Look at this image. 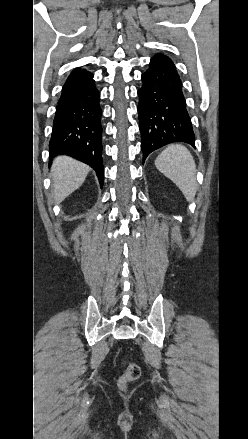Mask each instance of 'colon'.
I'll use <instances>...</instances> for the list:
<instances>
[{"instance_id": "colon-1", "label": "colon", "mask_w": 248, "mask_h": 439, "mask_svg": "<svg viewBox=\"0 0 248 439\" xmlns=\"http://www.w3.org/2000/svg\"><path fill=\"white\" fill-rule=\"evenodd\" d=\"M141 375V369L134 363H129L126 366L124 374L120 377L119 385L122 389H125L127 384L137 380Z\"/></svg>"}]
</instances>
